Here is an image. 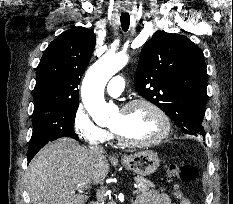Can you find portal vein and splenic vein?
<instances>
[{"instance_id": "18ae733b", "label": "portal vein and splenic vein", "mask_w": 233, "mask_h": 204, "mask_svg": "<svg viewBox=\"0 0 233 204\" xmlns=\"http://www.w3.org/2000/svg\"><path fill=\"white\" fill-rule=\"evenodd\" d=\"M133 193H134V194L137 193V189H134V190H133Z\"/></svg>"}]
</instances>
